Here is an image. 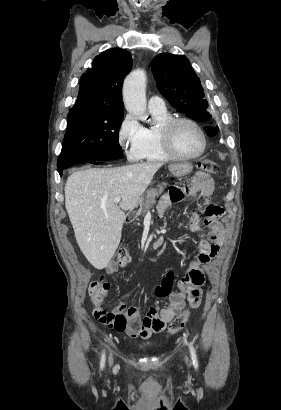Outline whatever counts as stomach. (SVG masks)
I'll return each instance as SVG.
<instances>
[{
  "label": "stomach",
  "mask_w": 281,
  "mask_h": 410,
  "mask_svg": "<svg viewBox=\"0 0 281 410\" xmlns=\"http://www.w3.org/2000/svg\"><path fill=\"white\" fill-rule=\"evenodd\" d=\"M193 166L189 163H182V164H172L169 166L170 172L175 176V177H182L187 174H189L192 171ZM143 202L144 198L141 197L139 200L138 204L134 207L133 213L135 215H139L143 209Z\"/></svg>",
  "instance_id": "1"
}]
</instances>
